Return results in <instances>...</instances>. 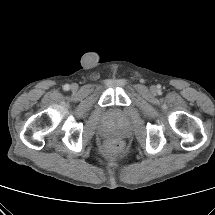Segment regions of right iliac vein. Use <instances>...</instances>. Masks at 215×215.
Wrapping results in <instances>:
<instances>
[{"label": "right iliac vein", "mask_w": 215, "mask_h": 215, "mask_svg": "<svg viewBox=\"0 0 215 215\" xmlns=\"http://www.w3.org/2000/svg\"><path fill=\"white\" fill-rule=\"evenodd\" d=\"M77 88H78V85H77V84H72V85H71V89H72V90H77Z\"/></svg>", "instance_id": "obj_1"}]
</instances>
